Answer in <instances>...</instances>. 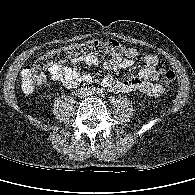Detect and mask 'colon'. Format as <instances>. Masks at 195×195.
I'll list each match as a JSON object with an SVG mask.
<instances>
[{
  "label": "colon",
  "mask_w": 195,
  "mask_h": 195,
  "mask_svg": "<svg viewBox=\"0 0 195 195\" xmlns=\"http://www.w3.org/2000/svg\"><path fill=\"white\" fill-rule=\"evenodd\" d=\"M125 48L115 39L90 40L84 43L71 44L52 50L40 56L35 62L27 64L21 72V86L24 92L31 93L44 81L41 70L69 61L81 55H123ZM176 79L173 71H165L163 81L167 86L174 84Z\"/></svg>",
  "instance_id": "obj_1"
}]
</instances>
